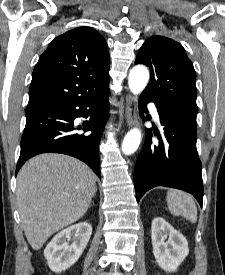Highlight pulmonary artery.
<instances>
[{"label": "pulmonary artery", "mask_w": 225, "mask_h": 275, "mask_svg": "<svg viewBox=\"0 0 225 275\" xmlns=\"http://www.w3.org/2000/svg\"><path fill=\"white\" fill-rule=\"evenodd\" d=\"M150 108H151L153 117H154L156 120H159V114H158V111H157V109H156V106H155L154 104H150Z\"/></svg>", "instance_id": "pulmonary-artery-1"}]
</instances>
